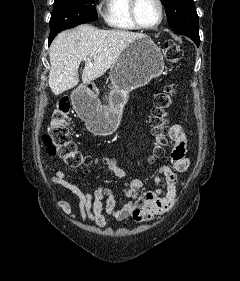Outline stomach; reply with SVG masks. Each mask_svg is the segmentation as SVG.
I'll use <instances>...</instances> for the list:
<instances>
[{
	"mask_svg": "<svg viewBox=\"0 0 240 281\" xmlns=\"http://www.w3.org/2000/svg\"><path fill=\"white\" fill-rule=\"evenodd\" d=\"M164 60L160 49L149 36L130 43L111 66V90L108 105H101L91 97L78 108L88 129L97 135H110L119 126L128 93L147 85L161 75Z\"/></svg>",
	"mask_w": 240,
	"mask_h": 281,
	"instance_id": "1",
	"label": "stomach"
}]
</instances>
